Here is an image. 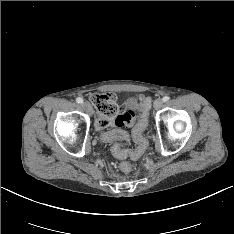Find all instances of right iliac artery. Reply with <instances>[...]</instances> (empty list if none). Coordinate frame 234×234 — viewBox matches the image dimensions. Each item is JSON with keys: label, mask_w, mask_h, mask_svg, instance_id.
Returning <instances> with one entry per match:
<instances>
[{"label": "right iliac artery", "mask_w": 234, "mask_h": 234, "mask_svg": "<svg viewBox=\"0 0 234 234\" xmlns=\"http://www.w3.org/2000/svg\"><path fill=\"white\" fill-rule=\"evenodd\" d=\"M76 102L79 103V104H82L83 103V99L80 98V97H78V98H76Z\"/></svg>", "instance_id": "obj_1"}]
</instances>
